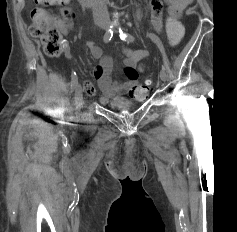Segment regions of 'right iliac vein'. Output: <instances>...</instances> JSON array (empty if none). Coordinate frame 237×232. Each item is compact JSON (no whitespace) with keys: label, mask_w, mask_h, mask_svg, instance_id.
Instances as JSON below:
<instances>
[{"label":"right iliac vein","mask_w":237,"mask_h":232,"mask_svg":"<svg viewBox=\"0 0 237 232\" xmlns=\"http://www.w3.org/2000/svg\"><path fill=\"white\" fill-rule=\"evenodd\" d=\"M74 102L76 109L80 111L83 106V93H82V87L80 85H77L76 87L74 94Z\"/></svg>","instance_id":"63e3f726"}]
</instances>
